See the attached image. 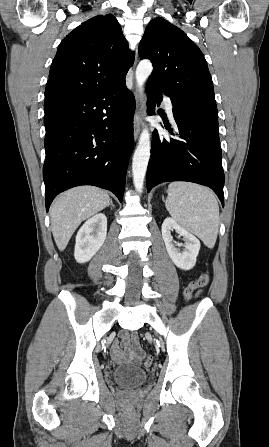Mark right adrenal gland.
Segmentation results:
<instances>
[{
  "mask_svg": "<svg viewBox=\"0 0 269 447\" xmlns=\"http://www.w3.org/2000/svg\"><path fill=\"white\" fill-rule=\"evenodd\" d=\"M109 206H112L111 210H113L114 206H113V202H112V200H110V204H109Z\"/></svg>",
  "mask_w": 269,
  "mask_h": 447,
  "instance_id": "1",
  "label": "right adrenal gland"
}]
</instances>
